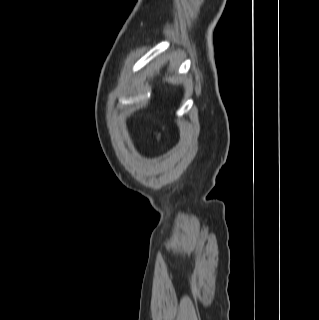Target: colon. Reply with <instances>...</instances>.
Here are the masks:
<instances>
[{"mask_svg": "<svg viewBox=\"0 0 319 320\" xmlns=\"http://www.w3.org/2000/svg\"><path fill=\"white\" fill-rule=\"evenodd\" d=\"M156 137H157L158 140H161V137H162V131L161 130H157Z\"/></svg>", "mask_w": 319, "mask_h": 320, "instance_id": "1", "label": "colon"}]
</instances>
